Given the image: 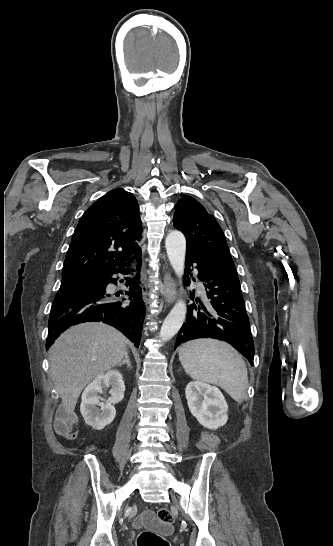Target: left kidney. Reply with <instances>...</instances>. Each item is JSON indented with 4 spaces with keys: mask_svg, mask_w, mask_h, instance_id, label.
Here are the masks:
<instances>
[{
    "mask_svg": "<svg viewBox=\"0 0 333 546\" xmlns=\"http://www.w3.org/2000/svg\"><path fill=\"white\" fill-rule=\"evenodd\" d=\"M185 394L190 412L202 426L216 429L226 424L228 405L217 387L190 382Z\"/></svg>",
    "mask_w": 333,
    "mask_h": 546,
    "instance_id": "left-kidney-1",
    "label": "left kidney"
}]
</instances>
